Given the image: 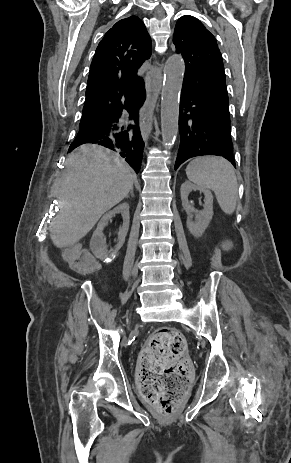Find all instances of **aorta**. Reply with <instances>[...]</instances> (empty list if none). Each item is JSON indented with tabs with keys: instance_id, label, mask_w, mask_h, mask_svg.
Segmentation results:
<instances>
[{
	"instance_id": "762f6f07",
	"label": "aorta",
	"mask_w": 291,
	"mask_h": 463,
	"mask_svg": "<svg viewBox=\"0 0 291 463\" xmlns=\"http://www.w3.org/2000/svg\"><path fill=\"white\" fill-rule=\"evenodd\" d=\"M185 72L181 56L174 55L167 61L164 73L165 81L161 98V130L163 143L172 147L178 133L179 98Z\"/></svg>"
}]
</instances>
